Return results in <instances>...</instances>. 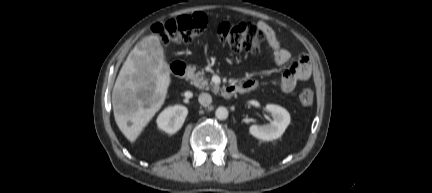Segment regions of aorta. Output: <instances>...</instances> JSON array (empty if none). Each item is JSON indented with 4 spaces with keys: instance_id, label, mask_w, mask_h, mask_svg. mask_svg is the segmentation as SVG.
Here are the masks:
<instances>
[{
    "instance_id": "1",
    "label": "aorta",
    "mask_w": 432,
    "mask_h": 193,
    "mask_svg": "<svg viewBox=\"0 0 432 193\" xmlns=\"http://www.w3.org/2000/svg\"><path fill=\"white\" fill-rule=\"evenodd\" d=\"M215 116L219 120H225L228 117V110L225 107H218L215 111Z\"/></svg>"
}]
</instances>
